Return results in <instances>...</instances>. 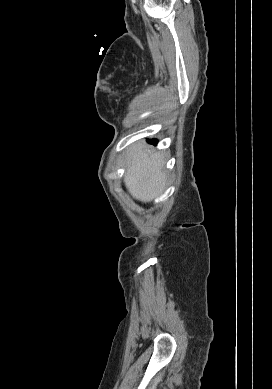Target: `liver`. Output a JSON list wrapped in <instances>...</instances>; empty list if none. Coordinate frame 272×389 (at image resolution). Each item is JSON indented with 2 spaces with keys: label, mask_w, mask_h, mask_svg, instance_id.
Returning a JSON list of instances; mask_svg holds the SVG:
<instances>
[{
  "label": "liver",
  "mask_w": 272,
  "mask_h": 389,
  "mask_svg": "<svg viewBox=\"0 0 272 389\" xmlns=\"http://www.w3.org/2000/svg\"><path fill=\"white\" fill-rule=\"evenodd\" d=\"M125 163L124 183L133 198L150 202L164 190L167 180L164 157L150 149L144 141L128 149Z\"/></svg>",
  "instance_id": "1"
}]
</instances>
